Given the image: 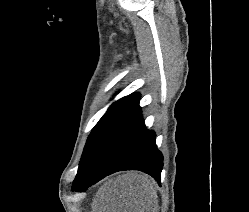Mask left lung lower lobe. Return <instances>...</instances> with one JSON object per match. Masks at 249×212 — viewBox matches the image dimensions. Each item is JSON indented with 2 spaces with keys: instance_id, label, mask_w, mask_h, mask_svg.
<instances>
[{
  "instance_id": "obj_1",
  "label": "left lung lower lobe",
  "mask_w": 249,
  "mask_h": 212,
  "mask_svg": "<svg viewBox=\"0 0 249 212\" xmlns=\"http://www.w3.org/2000/svg\"><path fill=\"white\" fill-rule=\"evenodd\" d=\"M155 137V132L145 127L138 101L104 135L88 164L74 180L73 191H83L121 170L143 171L160 185L163 156L157 149Z\"/></svg>"
}]
</instances>
